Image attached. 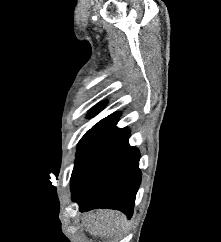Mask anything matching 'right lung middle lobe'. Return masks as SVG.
<instances>
[{"label": "right lung middle lobe", "mask_w": 221, "mask_h": 242, "mask_svg": "<svg viewBox=\"0 0 221 242\" xmlns=\"http://www.w3.org/2000/svg\"><path fill=\"white\" fill-rule=\"evenodd\" d=\"M97 129H99V127L97 126H93L90 130H88L86 132V134L82 137V139L80 140L79 144H78V149L81 147V145L84 143V141Z\"/></svg>", "instance_id": "1"}]
</instances>
